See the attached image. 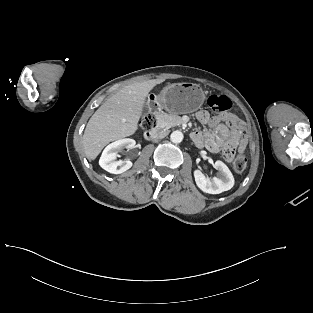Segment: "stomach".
<instances>
[{"instance_id": "1", "label": "stomach", "mask_w": 313, "mask_h": 313, "mask_svg": "<svg viewBox=\"0 0 313 313\" xmlns=\"http://www.w3.org/2000/svg\"><path fill=\"white\" fill-rule=\"evenodd\" d=\"M204 100L205 94L197 85L175 83L166 86L159 95L150 99V103L172 114H184L198 110Z\"/></svg>"}]
</instances>
